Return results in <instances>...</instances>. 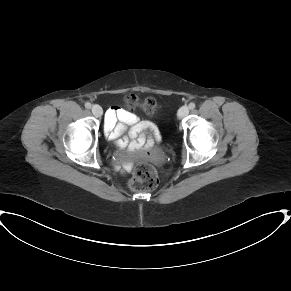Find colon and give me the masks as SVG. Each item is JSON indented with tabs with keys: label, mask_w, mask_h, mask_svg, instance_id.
I'll return each instance as SVG.
<instances>
[{
	"label": "colon",
	"mask_w": 291,
	"mask_h": 291,
	"mask_svg": "<svg viewBox=\"0 0 291 291\" xmlns=\"http://www.w3.org/2000/svg\"><path fill=\"white\" fill-rule=\"evenodd\" d=\"M125 103L128 107L140 106L148 114H155L158 110V104L152 98L140 100L137 96L130 95L125 99ZM129 186L136 192L153 190L158 186L156 171L142 160H138L135 163L133 178Z\"/></svg>",
	"instance_id": "colon-1"
}]
</instances>
